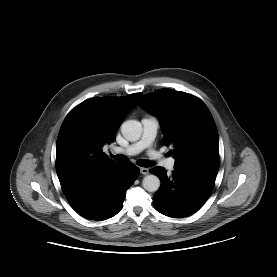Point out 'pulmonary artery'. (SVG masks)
<instances>
[{
    "instance_id": "obj_1",
    "label": "pulmonary artery",
    "mask_w": 277,
    "mask_h": 277,
    "mask_svg": "<svg viewBox=\"0 0 277 277\" xmlns=\"http://www.w3.org/2000/svg\"><path fill=\"white\" fill-rule=\"evenodd\" d=\"M141 123L143 126V132L140 140L124 148L117 147L114 149V152L135 155L147 149L148 155L153 161L164 166L169 171H172L175 167V159L165 158L158 151L151 148L159 128L158 119L154 116H146L142 119Z\"/></svg>"
}]
</instances>
